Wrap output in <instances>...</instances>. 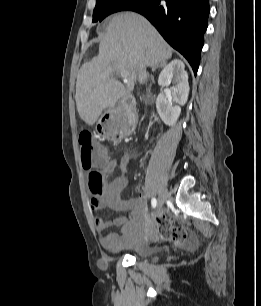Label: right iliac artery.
I'll use <instances>...</instances> for the list:
<instances>
[{
    "label": "right iliac artery",
    "mask_w": 261,
    "mask_h": 306,
    "mask_svg": "<svg viewBox=\"0 0 261 306\" xmlns=\"http://www.w3.org/2000/svg\"><path fill=\"white\" fill-rule=\"evenodd\" d=\"M151 204H152V207L155 208L157 205V200L155 198H152Z\"/></svg>",
    "instance_id": "1"
}]
</instances>
